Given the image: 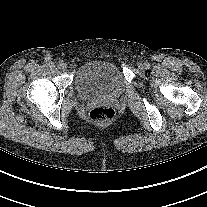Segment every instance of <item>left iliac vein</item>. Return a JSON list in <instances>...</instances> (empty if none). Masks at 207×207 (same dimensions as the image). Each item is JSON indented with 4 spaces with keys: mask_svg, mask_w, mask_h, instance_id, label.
<instances>
[{
    "mask_svg": "<svg viewBox=\"0 0 207 207\" xmlns=\"http://www.w3.org/2000/svg\"><path fill=\"white\" fill-rule=\"evenodd\" d=\"M138 67H139L140 70H144V69H146V65H145V63H139V64H138Z\"/></svg>",
    "mask_w": 207,
    "mask_h": 207,
    "instance_id": "obj_1",
    "label": "left iliac vein"
}]
</instances>
